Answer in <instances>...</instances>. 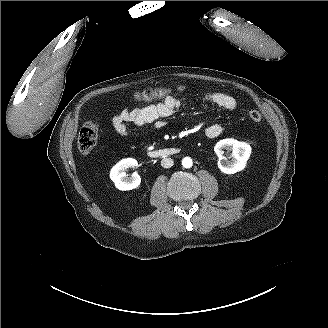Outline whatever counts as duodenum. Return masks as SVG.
Masks as SVG:
<instances>
[{
	"mask_svg": "<svg viewBox=\"0 0 328 328\" xmlns=\"http://www.w3.org/2000/svg\"><path fill=\"white\" fill-rule=\"evenodd\" d=\"M177 152L178 149L176 148H165V149L152 150L149 152V155L151 157H166V156L174 155Z\"/></svg>",
	"mask_w": 328,
	"mask_h": 328,
	"instance_id": "1",
	"label": "duodenum"
}]
</instances>
